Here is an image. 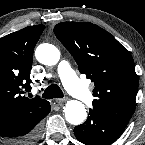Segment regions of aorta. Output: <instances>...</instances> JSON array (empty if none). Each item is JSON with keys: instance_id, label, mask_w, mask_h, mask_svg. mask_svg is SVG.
I'll return each mask as SVG.
<instances>
[{"instance_id": "obj_1", "label": "aorta", "mask_w": 145, "mask_h": 145, "mask_svg": "<svg viewBox=\"0 0 145 145\" xmlns=\"http://www.w3.org/2000/svg\"><path fill=\"white\" fill-rule=\"evenodd\" d=\"M35 56L41 64L52 66L59 62L60 51L52 44L43 43L36 48ZM64 113L66 121L73 125L81 124L87 117L84 105L77 100L67 101Z\"/></svg>"}]
</instances>
